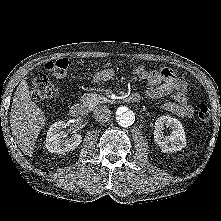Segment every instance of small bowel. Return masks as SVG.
Segmentation results:
<instances>
[{
	"mask_svg": "<svg viewBox=\"0 0 221 221\" xmlns=\"http://www.w3.org/2000/svg\"><path fill=\"white\" fill-rule=\"evenodd\" d=\"M134 73L145 79L152 87L146 91L149 98H161L169 96L171 101L164 102L161 107L177 116L190 118L193 115V108L188 103V83L185 79L178 77L168 69L148 71L142 67L134 69ZM115 70L105 68L96 72L92 77L93 83H102L112 79Z\"/></svg>",
	"mask_w": 221,
	"mask_h": 221,
	"instance_id": "1",
	"label": "small bowel"
}]
</instances>
